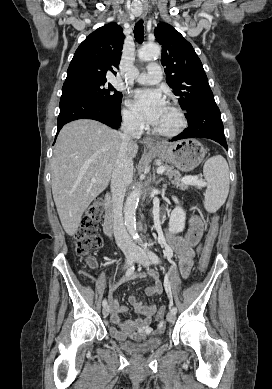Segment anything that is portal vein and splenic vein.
Returning a JSON list of instances; mask_svg holds the SVG:
<instances>
[{"label": "portal vein and splenic vein", "mask_w": 272, "mask_h": 389, "mask_svg": "<svg viewBox=\"0 0 272 389\" xmlns=\"http://www.w3.org/2000/svg\"><path fill=\"white\" fill-rule=\"evenodd\" d=\"M165 167L164 166H160V167H158L157 168V173L158 174H162V173H164L165 172ZM93 183H95L96 182V180H91ZM183 182L184 183H190V184H195L196 186H201V187H203L204 185H205V183L203 182V181H201V180H198V177L197 176H195V177H184L183 178Z\"/></svg>", "instance_id": "portal-vein-and-splenic-vein-1"}]
</instances>
